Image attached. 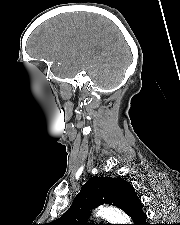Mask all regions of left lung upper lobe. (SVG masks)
Returning <instances> with one entry per match:
<instances>
[{"label":"left lung upper lobe","instance_id":"obj_1","mask_svg":"<svg viewBox=\"0 0 180 225\" xmlns=\"http://www.w3.org/2000/svg\"><path fill=\"white\" fill-rule=\"evenodd\" d=\"M113 204L131 216L141 209V201L134 188L117 177H91L75 197L71 207L48 225H102L87 224L91 209L102 204Z\"/></svg>","mask_w":180,"mask_h":225}]
</instances>
